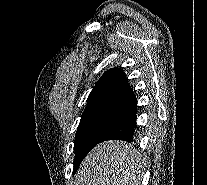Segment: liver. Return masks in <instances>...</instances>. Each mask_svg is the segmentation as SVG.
Masks as SVG:
<instances>
[{"label": "liver", "instance_id": "liver-1", "mask_svg": "<svg viewBox=\"0 0 207 185\" xmlns=\"http://www.w3.org/2000/svg\"><path fill=\"white\" fill-rule=\"evenodd\" d=\"M140 155L126 141H104L80 165L77 185H141Z\"/></svg>", "mask_w": 207, "mask_h": 185}]
</instances>
